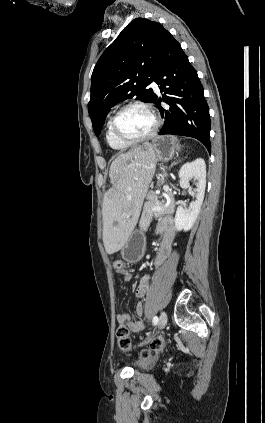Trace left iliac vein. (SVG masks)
Instances as JSON below:
<instances>
[{
    "label": "left iliac vein",
    "mask_w": 265,
    "mask_h": 423,
    "mask_svg": "<svg viewBox=\"0 0 265 423\" xmlns=\"http://www.w3.org/2000/svg\"><path fill=\"white\" fill-rule=\"evenodd\" d=\"M167 324V314L165 311H162L159 316V328L162 329Z\"/></svg>",
    "instance_id": "left-iliac-vein-1"
}]
</instances>
